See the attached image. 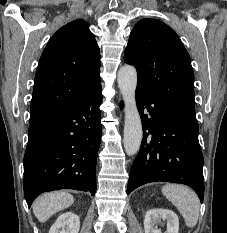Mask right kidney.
I'll list each match as a JSON object with an SVG mask.
<instances>
[{"label": "right kidney", "mask_w": 227, "mask_h": 233, "mask_svg": "<svg viewBox=\"0 0 227 233\" xmlns=\"http://www.w3.org/2000/svg\"><path fill=\"white\" fill-rule=\"evenodd\" d=\"M80 228L79 216L72 212L61 214L51 226L49 233H78Z\"/></svg>", "instance_id": "obj_1"}]
</instances>
